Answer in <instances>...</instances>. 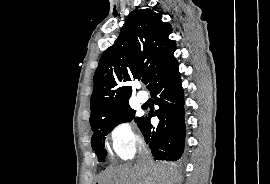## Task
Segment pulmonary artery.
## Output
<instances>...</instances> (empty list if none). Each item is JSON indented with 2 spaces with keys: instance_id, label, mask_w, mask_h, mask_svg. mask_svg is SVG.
Listing matches in <instances>:
<instances>
[{
  "instance_id": "e3ab8cb5",
  "label": "pulmonary artery",
  "mask_w": 270,
  "mask_h": 184,
  "mask_svg": "<svg viewBox=\"0 0 270 184\" xmlns=\"http://www.w3.org/2000/svg\"><path fill=\"white\" fill-rule=\"evenodd\" d=\"M137 99H138L139 102L145 103V102H147V100H148V95H147L146 92L140 91V92L137 94Z\"/></svg>"
}]
</instances>
